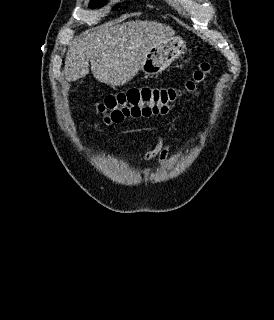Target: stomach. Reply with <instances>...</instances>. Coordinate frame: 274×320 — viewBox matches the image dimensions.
Here are the masks:
<instances>
[{
    "label": "stomach",
    "instance_id": "0dacf381",
    "mask_svg": "<svg viewBox=\"0 0 274 320\" xmlns=\"http://www.w3.org/2000/svg\"><path fill=\"white\" fill-rule=\"evenodd\" d=\"M186 50L185 42L180 36H171L164 44H159L150 50L145 62H142L140 70L145 76H157L162 74L172 62L178 60Z\"/></svg>",
    "mask_w": 274,
    "mask_h": 320
}]
</instances>
